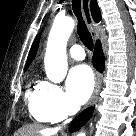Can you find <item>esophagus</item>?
Returning a JSON list of instances; mask_svg holds the SVG:
<instances>
[{
  "mask_svg": "<svg viewBox=\"0 0 136 136\" xmlns=\"http://www.w3.org/2000/svg\"><path fill=\"white\" fill-rule=\"evenodd\" d=\"M81 5H82V11L85 18V22L88 28L90 29L92 38L96 41L98 38V34L95 31V22L91 15L90 0H81ZM100 88H101V75L100 73L97 72L96 78H95V89L87 105L88 107L93 105L97 101Z\"/></svg>",
  "mask_w": 136,
  "mask_h": 136,
  "instance_id": "obj_1",
  "label": "esophagus"
}]
</instances>
